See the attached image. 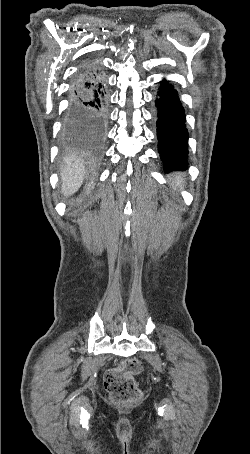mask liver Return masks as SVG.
I'll list each match as a JSON object with an SVG mask.
<instances>
[{"label":"liver","instance_id":"1","mask_svg":"<svg viewBox=\"0 0 250 454\" xmlns=\"http://www.w3.org/2000/svg\"><path fill=\"white\" fill-rule=\"evenodd\" d=\"M65 165L60 169L62 193L68 197L78 191L85 179V167L75 157H66Z\"/></svg>","mask_w":250,"mask_h":454}]
</instances>
